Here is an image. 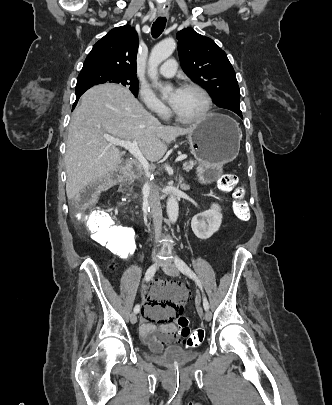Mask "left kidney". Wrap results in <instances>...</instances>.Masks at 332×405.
I'll use <instances>...</instances> for the list:
<instances>
[{
    "label": "left kidney",
    "instance_id": "5707ae66",
    "mask_svg": "<svg viewBox=\"0 0 332 405\" xmlns=\"http://www.w3.org/2000/svg\"><path fill=\"white\" fill-rule=\"evenodd\" d=\"M221 223V209L217 204H212L209 210L201 212L192 218L191 228L199 239L205 240L219 230Z\"/></svg>",
    "mask_w": 332,
    "mask_h": 405
}]
</instances>
